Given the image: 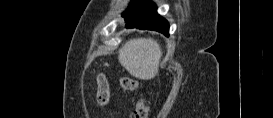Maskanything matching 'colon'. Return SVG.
I'll list each match as a JSON object with an SVG mask.
<instances>
[{
    "instance_id": "1",
    "label": "colon",
    "mask_w": 273,
    "mask_h": 118,
    "mask_svg": "<svg viewBox=\"0 0 273 118\" xmlns=\"http://www.w3.org/2000/svg\"><path fill=\"white\" fill-rule=\"evenodd\" d=\"M120 85L122 89L126 91H134L139 87V82L137 79L123 76L120 79ZM96 100L100 106H104L109 100V86L105 75L99 74L97 76V92ZM148 107L145 98H140L133 112V118H147Z\"/></svg>"
}]
</instances>
